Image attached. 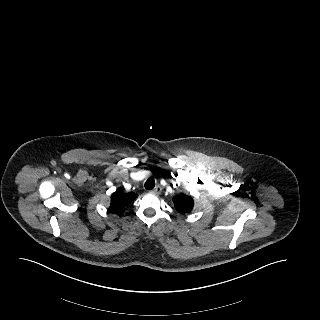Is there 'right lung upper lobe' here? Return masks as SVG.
Returning <instances> with one entry per match:
<instances>
[{"label": "right lung upper lobe", "mask_w": 320, "mask_h": 320, "mask_svg": "<svg viewBox=\"0 0 320 320\" xmlns=\"http://www.w3.org/2000/svg\"><path fill=\"white\" fill-rule=\"evenodd\" d=\"M137 196L138 195L133 192L124 193L120 190H116L111 195V203L108 210L120 215L127 209L130 203L137 198Z\"/></svg>", "instance_id": "cb5924a9"}]
</instances>
